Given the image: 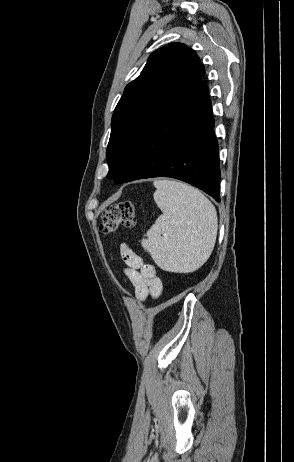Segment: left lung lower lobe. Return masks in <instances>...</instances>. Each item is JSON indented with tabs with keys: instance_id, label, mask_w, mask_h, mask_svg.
Segmentation results:
<instances>
[{
	"instance_id": "left-lung-lower-lobe-1",
	"label": "left lung lower lobe",
	"mask_w": 294,
	"mask_h": 462,
	"mask_svg": "<svg viewBox=\"0 0 294 462\" xmlns=\"http://www.w3.org/2000/svg\"><path fill=\"white\" fill-rule=\"evenodd\" d=\"M213 128L207 85L202 80L188 83L174 101L155 110L114 182L172 177L220 202L219 154Z\"/></svg>"
}]
</instances>
